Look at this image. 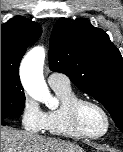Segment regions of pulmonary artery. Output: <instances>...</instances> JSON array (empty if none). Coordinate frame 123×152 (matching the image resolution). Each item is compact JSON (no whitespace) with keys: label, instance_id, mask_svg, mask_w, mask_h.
I'll return each mask as SVG.
<instances>
[{"label":"pulmonary artery","instance_id":"obj_1","mask_svg":"<svg viewBox=\"0 0 123 152\" xmlns=\"http://www.w3.org/2000/svg\"><path fill=\"white\" fill-rule=\"evenodd\" d=\"M48 84L52 88H69L71 87L70 79L62 73L52 72L48 76Z\"/></svg>","mask_w":123,"mask_h":152}]
</instances>
